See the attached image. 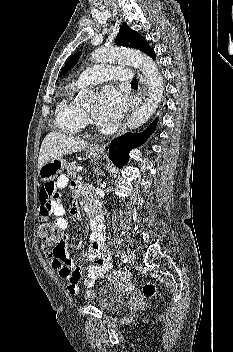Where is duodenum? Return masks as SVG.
Here are the masks:
<instances>
[{"instance_id":"duodenum-1","label":"duodenum","mask_w":233,"mask_h":352,"mask_svg":"<svg viewBox=\"0 0 233 352\" xmlns=\"http://www.w3.org/2000/svg\"><path fill=\"white\" fill-rule=\"evenodd\" d=\"M89 213L92 219H95L99 216V207L93 199L90 201Z\"/></svg>"}]
</instances>
